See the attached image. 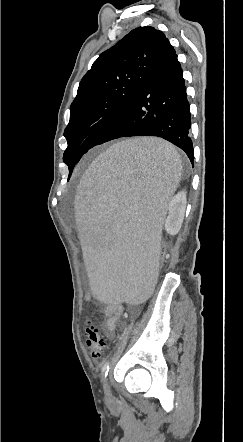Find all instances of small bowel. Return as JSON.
Returning a JSON list of instances; mask_svg holds the SVG:
<instances>
[{"instance_id": "c3829d8e", "label": "small bowel", "mask_w": 243, "mask_h": 442, "mask_svg": "<svg viewBox=\"0 0 243 442\" xmlns=\"http://www.w3.org/2000/svg\"><path fill=\"white\" fill-rule=\"evenodd\" d=\"M122 314V307L118 304L110 305L105 310V332L109 338L114 337L117 323Z\"/></svg>"}]
</instances>
